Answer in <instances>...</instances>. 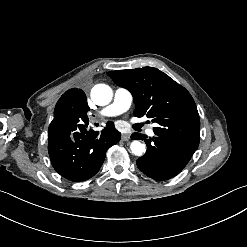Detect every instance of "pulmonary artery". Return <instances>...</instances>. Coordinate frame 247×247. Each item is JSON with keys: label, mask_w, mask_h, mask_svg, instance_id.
<instances>
[{"label": "pulmonary artery", "mask_w": 247, "mask_h": 247, "mask_svg": "<svg viewBox=\"0 0 247 247\" xmlns=\"http://www.w3.org/2000/svg\"><path fill=\"white\" fill-rule=\"evenodd\" d=\"M132 102H133L132 92L127 88L118 87L115 90L113 102L110 105L103 108L102 110L98 111L97 115L100 117L116 116L128 110ZM148 134L152 137L156 136L152 128L148 130Z\"/></svg>", "instance_id": "obj_1"}]
</instances>
